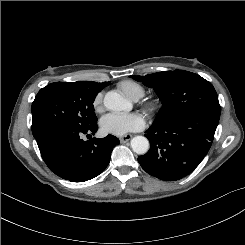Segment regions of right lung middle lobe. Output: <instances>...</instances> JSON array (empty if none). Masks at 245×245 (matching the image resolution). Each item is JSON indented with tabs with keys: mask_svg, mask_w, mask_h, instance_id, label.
I'll return each instance as SVG.
<instances>
[{
	"mask_svg": "<svg viewBox=\"0 0 245 245\" xmlns=\"http://www.w3.org/2000/svg\"><path fill=\"white\" fill-rule=\"evenodd\" d=\"M100 91L80 81L56 82L42 88L32 103L35 139L52 126L85 130L96 124L93 102Z\"/></svg>",
	"mask_w": 245,
	"mask_h": 245,
	"instance_id": "obj_1",
	"label": "right lung middle lobe"
}]
</instances>
